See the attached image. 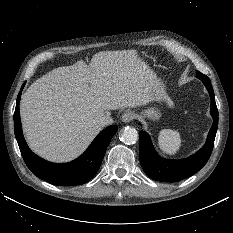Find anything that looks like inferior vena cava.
Instances as JSON below:
<instances>
[{
  "label": "inferior vena cava",
  "mask_w": 233,
  "mask_h": 233,
  "mask_svg": "<svg viewBox=\"0 0 233 233\" xmlns=\"http://www.w3.org/2000/svg\"><path fill=\"white\" fill-rule=\"evenodd\" d=\"M113 123V119L110 117L109 114H105L103 116H101L98 120H97V124L100 127H105L107 125H110Z\"/></svg>",
  "instance_id": "inferior-vena-cava-1"
}]
</instances>
